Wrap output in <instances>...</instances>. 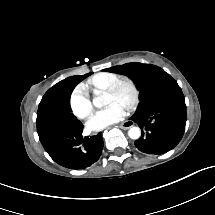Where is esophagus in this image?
I'll return each instance as SVG.
<instances>
[{"label": "esophagus", "instance_id": "1", "mask_svg": "<svg viewBox=\"0 0 215 215\" xmlns=\"http://www.w3.org/2000/svg\"><path fill=\"white\" fill-rule=\"evenodd\" d=\"M132 126H134V122L131 121V120H127V121L123 122L122 124H120L119 127H120L121 129H129V128H131Z\"/></svg>", "mask_w": 215, "mask_h": 215}]
</instances>
